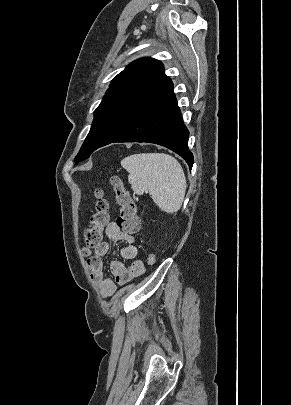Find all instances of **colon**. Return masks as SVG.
Segmentation results:
<instances>
[{
    "instance_id": "5ec220e1",
    "label": "colon",
    "mask_w": 291,
    "mask_h": 405,
    "mask_svg": "<svg viewBox=\"0 0 291 405\" xmlns=\"http://www.w3.org/2000/svg\"><path fill=\"white\" fill-rule=\"evenodd\" d=\"M116 202L120 206V215L117 218V226L127 234H135L140 231V219L137 214V207L129 191L126 189L123 180L117 176L111 179ZM96 203L94 212L90 219V225L84 232L85 253L96 249L103 242V231L109 224L108 202L103 197L101 189L96 190ZM147 265L153 266L156 263V255L151 252L146 258Z\"/></svg>"
}]
</instances>
